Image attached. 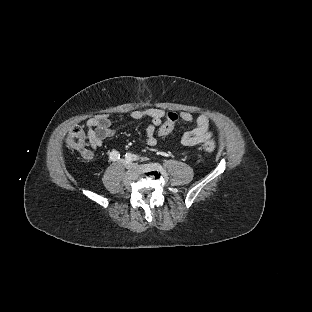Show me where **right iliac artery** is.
<instances>
[{"label": "right iliac artery", "mask_w": 312, "mask_h": 312, "mask_svg": "<svg viewBox=\"0 0 312 312\" xmlns=\"http://www.w3.org/2000/svg\"><path fill=\"white\" fill-rule=\"evenodd\" d=\"M125 156H126V159H127L128 161H135V160H136V156H135V155H132V154H130V153L126 154ZM110 159H112V160H114V161L117 160V159H120V154H119L117 151L113 150V151L110 153Z\"/></svg>", "instance_id": "82829eb1"}]
</instances>
